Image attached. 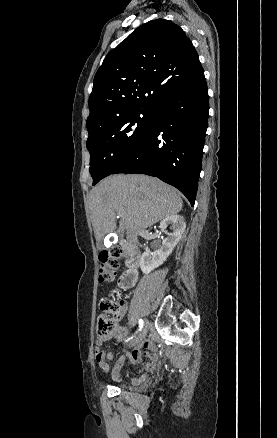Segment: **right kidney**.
I'll return each instance as SVG.
<instances>
[{
    "label": "right kidney",
    "mask_w": 277,
    "mask_h": 438,
    "mask_svg": "<svg viewBox=\"0 0 277 438\" xmlns=\"http://www.w3.org/2000/svg\"><path fill=\"white\" fill-rule=\"evenodd\" d=\"M167 226H170L172 232L171 234H166L167 238L163 240L159 250H156V252H143L140 262V268L143 274H150L152 270L162 266L163 262L172 254L173 248L177 246L186 228L183 216H178V214L168 216V218H164V220L160 222L159 228H161V232H166Z\"/></svg>",
    "instance_id": "1"
}]
</instances>
